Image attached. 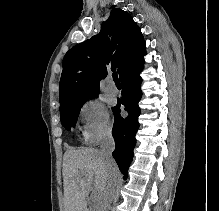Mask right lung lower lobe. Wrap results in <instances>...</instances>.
Here are the masks:
<instances>
[{
	"mask_svg": "<svg viewBox=\"0 0 219 211\" xmlns=\"http://www.w3.org/2000/svg\"><path fill=\"white\" fill-rule=\"evenodd\" d=\"M144 62L129 69L124 76L121 77L123 90L118 104L112 108L115 121L113 127V137L116 149L112 153L116 160L120 171L127 178V171L133 158V149L135 147V134L139 128L138 116L140 108L138 102L142 96L140 89L141 77L139 73L143 69ZM120 105L124 106V110L128 112V116L123 118L120 116Z\"/></svg>",
	"mask_w": 219,
	"mask_h": 211,
	"instance_id": "obj_1",
	"label": "right lung lower lobe"
}]
</instances>
